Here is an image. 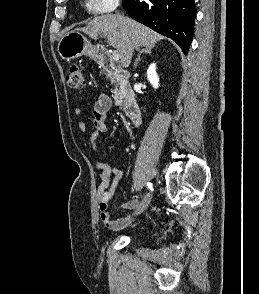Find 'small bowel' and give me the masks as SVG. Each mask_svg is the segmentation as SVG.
I'll return each mask as SVG.
<instances>
[{
    "mask_svg": "<svg viewBox=\"0 0 259 294\" xmlns=\"http://www.w3.org/2000/svg\"><path fill=\"white\" fill-rule=\"evenodd\" d=\"M111 107V99L105 95L101 94L95 101L91 109V117L94 126V131L89 136V144L93 152H98L97 141L99 135L103 133L106 129L105 126V116ZM83 111L81 108H76L74 114L77 117L82 115ZM80 131L86 132L87 127L84 122L80 121L78 123ZM96 168L100 170L99 179L101 181L97 198L100 210V219L103 225L113 231L121 230L132 222L133 211L139 204L138 199H130L122 203L121 207L124 210H128L131 213L124 218L112 219L108 211L109 203L112 200L116 187L120 181L123 180L125 173L123 170L116 166H111L105 162L97 161L95 162Z\"/></svg>",
    "mask_w": 259,
    "mask_h": 294,
    "instance_id": "1",
    "label": "small bowel"
}]
</instances>
